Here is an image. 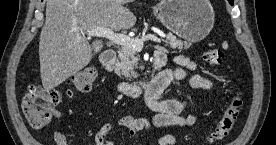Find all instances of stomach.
Returning a JSON list of instances; mask_svg holds the SVG:
<instances>
[{
  "label": "stomach",
  "mask_w": 276,
  "mask_h": 145,
  "mask_svg": "<svg viewBox=\"0 0 276 145\" xmlns=\"http://www.w3.org/2000/svg\"><path fill=\"white\" fill-rule=\"evenodd\" d=\"M157 19L177 36L199 42L214 25V10L209 0H162L154 7Z\"/></svg>",
  "instance_id": "0dacf381"
}]
</instances>
